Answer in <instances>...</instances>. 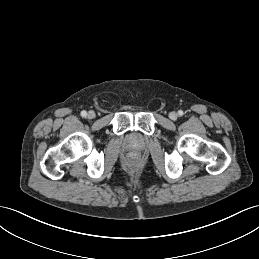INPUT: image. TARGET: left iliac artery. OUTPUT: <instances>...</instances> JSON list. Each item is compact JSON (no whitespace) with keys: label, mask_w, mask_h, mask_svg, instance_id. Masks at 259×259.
I'll use <instances>...</instances> for the list:
<instances>
[{"label":"left iliac artery","mask_w":259,"mask_h":259,"mask_svg":"<svg viewBox=\"0 0 259 259\" xmlns=\"http://www.w3.org/2000/svg\"><path fill=\"white\" fill-rule=\"evenodd\" d=\"M183 114H184V113H183L182 110H179V111H178V115H179V116H182Z\"/></svg>","instance_id":"44dca946"}]
</instances>
